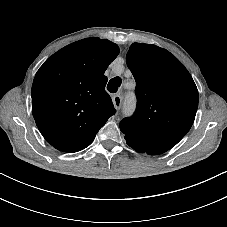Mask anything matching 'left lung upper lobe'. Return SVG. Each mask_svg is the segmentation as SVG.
I'll use <instances>...</instances> for the list:
<instances>
[{
    "label": "left lung upper lobe",
    "instance_id": "5c2ea615",
    "mask_svg": "<svg viewBox=\"0 0 227 227\" xmlns=\"http://www.w3.org/2000/svg\"><path fill=\"white\" fill-rule=\"evenodd\" d=\"M126 60L136 81L137 108L120 122V129L137 152L164 153L194 122L197 87L183 64L156 45L133 43Z\"/></svg>",
    "mask_w": 227,
    "mask_h": 227
}]
</instances>
